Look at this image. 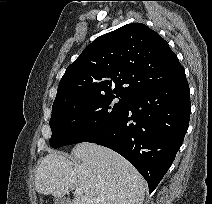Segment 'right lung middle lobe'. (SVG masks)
I'll use <instances>...</instances> for the list:
<instances>
[{"mask_svg": "<svg viewBox=\"0 0 212 204\" xmlns=\"http://www.w3.org/2000/svg\"><path fill=\"white\" fill-rule=\"evenodd\" d=\"M116 97H120L116 104H113L115 96L104 95L52 109L51 147L84 142L112 124L125 110L128 101L126 96Z\"/></svg>", "mask_w": 212, "mask_h": 204, "instance_id": "obj_1", "label": "right lung middle lobe"}]
</instances>
